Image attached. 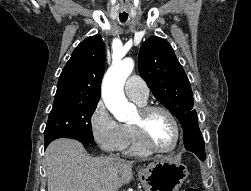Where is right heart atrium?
I'll return each mask as SVG.
<instances>
[{"label":"right heart atrium","instance_id":"obj_1","mask_svg":"<svg viewBox=\"0 0 251 191\" xmlns=\"http://www.w3.org/2000/svg\"><path fill=\"white\" fill-rule=\"evenodd\" d=\"M89 129L94 142L103 151L121 149L125 131L124 125L117 122L102 101H99L89 116Z\"/></svg>","mask_w":251,"mask_h":191}]
</instances>
